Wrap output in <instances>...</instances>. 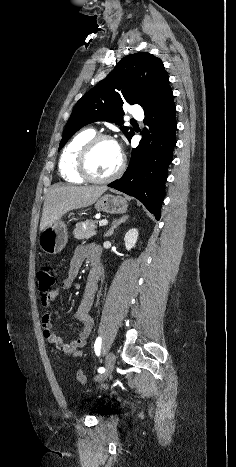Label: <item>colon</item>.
<instances>
[{
  "label": "colon",
  "instance_id": "colon-1",
  "mask_svg": "<svg viewBox=\"0 0 236 467\" xmlns=\"http://www.w3.org/2000/svg\"><path fill=\"white\" fill-rule=\"evenodd\" d=\"M37 276L41 295H48L53 290L56 283L54 270L49 266H43L39 269ZM77 379L81 384L86 383V376L83 371H78Z\"/></svg>",
  "mask_w": 236,
  "mask_h": 467
}]
</instances>
